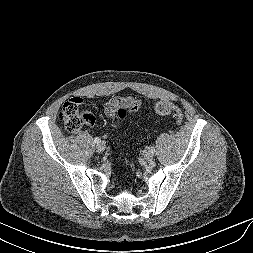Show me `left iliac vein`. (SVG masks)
Instances as JSON below:
<instances>
[{
	"label": "left iliac vein",
	"mask_w": 253,
	"mask_h": 253,
	"mask_svg": "<svg viewBox=\"0 0 253 253\" xmlns=\"http://www.w3.org/2000/svg\"><path fill=\"white\" fill-rule=\"evenodd\" d=\"M143 156L146 161L151 162L153 160L154 153H152L150 150H146L144 151Z\"/></svg>",
	"instance_id": "1"
}]
</instances>
